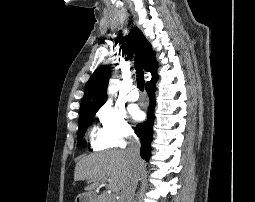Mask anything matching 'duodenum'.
Instances as JSON below:
<instances>
[{"label":"duodenum","mask_w":255,"mask_h":202,"mask_svg":"<svg viewBox=\"0 0 255 202\" xmlns=\"http://www.w3.org/2000/svg\"><path fill=\"white\" fill-rule=\"evenodd\" d=\"M85 202H91L89 198L85 199Z\"/></svg>","instance_id":"410a0bca"}]
</instances>
